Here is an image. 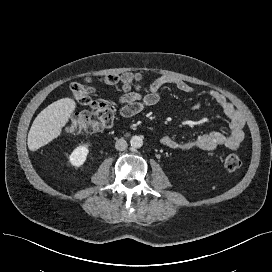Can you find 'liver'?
Here are the masks:
<instances>
[{
  "label": "liver",
  "mask_w": 272,
  "mask_h": 272,
  "mask_svg": "<svg viewBox=\"0 0 272 272\" xmlns=\"http://www.w3.org/2000/svg\"><path fill=\"white\" fill-rule=\"evenodd\" d=\"M75 109V101L66 97L42 110L30 128L27 139L28 148L36 151L60 136L62 128L67 124Z\"/></svg>",
  "instance_id": "6515ba94"
}]
</instances>
